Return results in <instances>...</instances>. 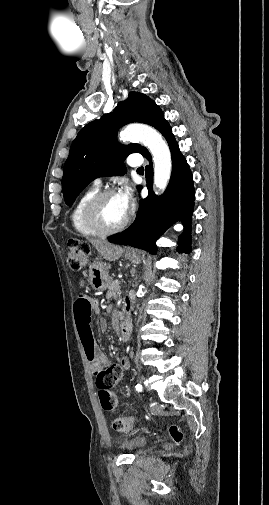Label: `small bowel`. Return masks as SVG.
I'll return each mask as SVG.
<instances>
[{"instance_id":"c3829d8e","label":"small bowel","mask_w":269,"mask_h":505,"mask_svg":"<svg viewBox=\"0 0 269 505\" xmlns=\"http://www.w3.org/2000/svg\"><path fill=\"white\" fill-rule=\"evenodd\" d=\"M74 304L77 330L86 358L91 363L93 374L96 376L97 373L104 368L114 367L119 372L120 378L123 371L129 366L128 359L123 358L119 362L110 365L105 354L94 342L91 317L99 312V299L90 295L88 289H85L83 286H78L76 288ZM98 329L100 332H105L107 330V323L105 320L101 319L98 322Z\"/></svg>"}]
</instances>
